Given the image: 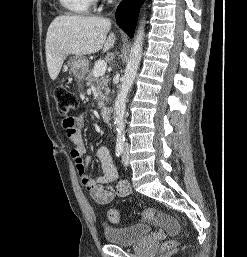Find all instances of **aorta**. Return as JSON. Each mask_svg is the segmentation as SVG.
Returning a JSON list of instances; mask_svg holds the SVG:
<instances>
[{"mask_svg": "<svg viewBox=\"0 0 247 257\" xmlns=\"http://www.w3.org/2000/svg\"><path fill=\"white\" fill-rule=\"evenodd\" d=\"M145 20L140 22L139 28L137 30L127 65L125 68L124 76L122 78V83L120 91L117 94L114 103V124L116 125L117 138L124 139L125 136V110L128 94L134 83L137 70L140 65L142 51H143V41L145 37L144 33Z\"/></svg>", "mask_w": 247, "mask_h": 257, "instance_id": "obj_1", "label": "aorta"}]
</instances>
